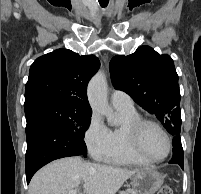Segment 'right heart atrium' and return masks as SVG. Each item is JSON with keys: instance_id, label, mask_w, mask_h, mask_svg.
<instances>
[{"instance_id": "1", "label": "right heart atrium", "mask_w": 201, "mask_h": 194, "mask_svg": "<svg viewBox=\"0 0 201 194\" xmlns=\"http://www.w3.org/2000/svg\"><path fill=\"white\" fill-rule=\"evenodd\" d=\"M84 141L90 154L102 158L109 146V132L98 114L93 113L84 133Z\"/></svg>"}]
</instances>
